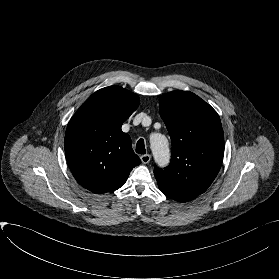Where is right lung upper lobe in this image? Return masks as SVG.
<instances>
[{
    "label": "right lung upper lobe",
    "mask_w": 279,
    "mask_h": 279,
    "mask_svg": "<svg viewBox=\"0 0 279 279\" xmlns=\"http://www.w3.org/2000/svg\"><path fill=\"white\" fill-rule=\"evenodd\" d=\"M139 103L135 93L109 86L92 94L70 119L65 156L82 187L96 194L114 191L140 164L130 136L121 130Z\"/></svg>",
    "instance_id": "right-lung-upper-lobe-1"
}]
</instances>
